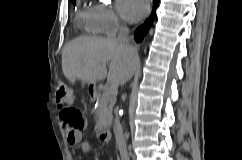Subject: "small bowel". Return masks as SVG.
Listing matches in <instances>:
<instances>
[{"label": "small bowel", "instance_id": "c3829d8e", "mask_svg": "<svg viewBox=\"0 0 242 160\" xmlns=\"http://www.w3.org/2000/svg\"><path fill=\"white\" fill-rule=\"evenodd\" d=\"M61 120L63 122V131L65 132L67 143L71 146L80 144L83 150H88L89 146L83 141L81 131L72 129L71 126L64 119H62V117Z\"/></svg>", "mask_w": 242, "mask_h": 160}]
</instances>
